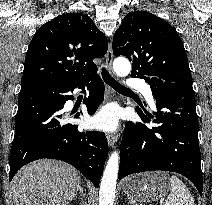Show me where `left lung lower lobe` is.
Wrapping results in <instances>:
<instances>
[{
	"instance_id": "left-lung-lower-lobe-1",
	"label": "left lung lower lobe",
	"mask_w": 212,
	"mask_h": 205,
	"mask_svg": "<svg viewBox=\"0 0 212 205\" xmlns=\"http://www.w3.org/2000/svg\"><path fill=\"white\" fill-rule=\"evenodd\" d=\"M150 84L157 111L136 108L145 123L128 122L121 143L119 179L139 172L163 170L187 177L202 195V171L198 143V118L192 85L143 78Z\"/></svg>"
}]
</instances>
